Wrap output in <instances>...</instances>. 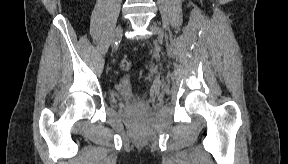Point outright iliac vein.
<instances>
[{
	"label": "right iliac vein",
	"mask_w": 288,
	"mask_h": 164,
	"mask_svg": "<svg viewBox=\"0 0 288 164\" xmlns=\"http://www.w3.org/2000/svg\"><path fill=\"white\" fill-rule=\"evenodd\" d=\"M121 36H122V27L118 26L113 33L111 43L112 44L116 43L121 38Z\"/></svg>",
	"instance_id": "63e3f726"
}]
</instances>
